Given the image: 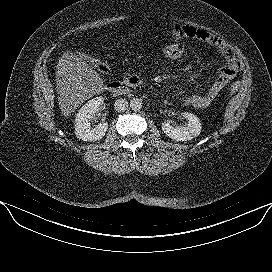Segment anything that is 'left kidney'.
Segmentation results:
<instances>
[{"label": "left kidney", "mask_w": 272, "mask_h": 272, "mask_svg": "<svg viewBox=\"0 0 272 272\" xmlns=\"http://www.w3.org/2000/svg\"><path fill=\"white\" fill-rule=\"evenodd\" d=\"M183 117L188 120L187 125L172 126L171 121L167 120L162 123L163 132L175 141H188L201 133V122L197 116L192 113L185 112Z\"/></svg>", "instance_id": "left-kidney-1"}]
</instances>
